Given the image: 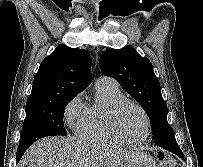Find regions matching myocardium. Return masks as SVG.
<instances>
[{
	"label": "myocardium",
	"mask_w": 203,
	"mask_h": 167,
	"mask_svg": "<svg viewBox=\"0 0 203 167\" xmlns=\"http://www.w3.org/2000/svg\"><path fill=\"white\" fill-rule=\"evenodd\" d=\"M127 106H133L135 108H137L140 113L142 114L143 118H144V124H145V130H144V135L143 137L138 140V141H129L126 140L118 131L117 128V120L118 117L120 115V113L122 112V110L127 107ZM150 118L148 113L146 112V110L143 108L142 105H140L139 103L130 100V99H122L120 101H118L116 103V105L114 106V108L112 109V111L110 112L108 119H107V128L108 131L110 132V134L117 140L119 141L121 144L127 145V146H131V147H137L140 146L142 144H144L146 142V140L149 137V133H150Z\"/></svg>",
	"instance_id": "myocardium-1"
}]
</instances>
